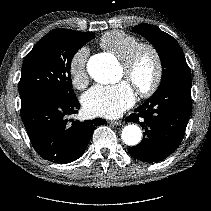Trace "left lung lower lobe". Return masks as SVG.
<instances>
[{
	"mask_svg": "<svg viewBox=\"0 0 211 211\" xmlns=\"http://www.w3.org/2000/svg\"><path fill=\"white\" fill-rule=\"evenodd\" d=\"M191 76L169 81L126 118L145 129L141 143L129 154L144 162L167 158L181 143L191 113Z\"/></svg>",
	"mask_w": 211,
	"mask_h": 211,
	"instance_id": "1",
	"label": "left lung lower lobe"
}]
</instances>
